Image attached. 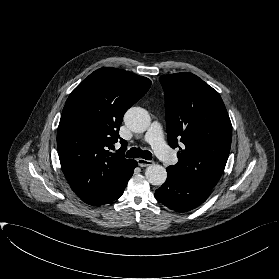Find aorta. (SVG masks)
Wrapping results in <instances>:
<instances>
[{
  "label": "aorta",
  "instance_id": "aorta-1",
  "mask_svg": "<svg viewBox=\"0 0 279 279\" xmlns=\"http://www.w3.org/2000/svg\"><path fill=\"white\" fill-rule=\"evenodd\" d=\"M150 121L148 112L140 107H132L124 115L125 125L136 133L146 131ZM145 177L150 184L160 186L166 181L167 172L163 166L152 164L146 168Z\"/></svg>",
  "mask_w": 279,
  "mask_h": 279
}]
</instances>
